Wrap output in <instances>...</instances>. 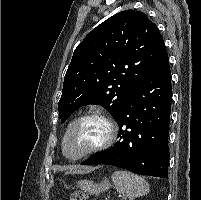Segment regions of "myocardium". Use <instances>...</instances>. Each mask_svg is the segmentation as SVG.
Instances as JSON below:
<instances>
[{
    "instance_id": "1",
    "label": "myocardium",
    "mask_w": 201,
    "mask_h": 200,
    "mask_svg": "<svg viewBox=\"0 0 201 200\" xmlns=\"http://www.w3.org/2000/svg\"><path fill=\"white\" fill-rule=\"evenodd\" d=\"M89 119H97L104 124V126L106 128L105 138L103 139L102 142H100L93 148L81 153L80 155L70 156L68 154L67 142H68V138H69L71 132L79 123L89 120ZM116 138H117V126H116L114 120L107 113H105L103 111L92 110V111L86 112V113L82 114L81 116H79L78 118H76L70 124L68 129L66 130L65 135L63 137V141H62L63 154L65 155V157L67 159H69L71 161H77V160H80L87 156H90V155H93V154H96V153H99V152H102V151L108 149L109 147H111L114 144Z\"/></svg>"
}]
</instances>
